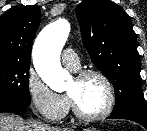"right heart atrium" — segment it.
<instances>
[{
	"instance_id": "1",
	"label": "right heart atrium",
	"mask_w": 147,
	"mask_h": 131,
	"mask_svg": "<svg viewBox=\"0 0 147 131\" xmlns=\"http://www.w3.org/2000/svg\"><path fill=\"white\" fill-rule=\"evenodd\" d=\"M26 87L30 102L41 117L58 122L67 115L70 107L67 96L52 90L34 70L28 73Z\"/></svg>"
}]
</instances>
